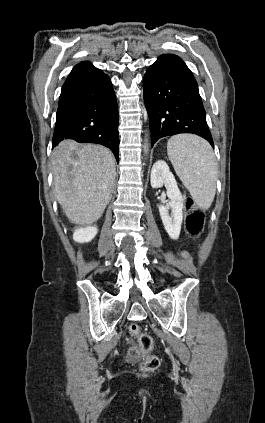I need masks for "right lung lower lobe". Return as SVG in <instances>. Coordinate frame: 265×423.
<instances>
[{
    "instance_id": "1",
    "label": "right lung lower lobe",
    "mask_w": 265,
    "mask_h": 423,
    "mask_svg": "<svg viewBox=\"0 0 265 423\" xmlns=\"http://www.w3.org/2000/svg\"><path fill=\"white\" fill-rule=\"evenodd\" d=\"M72 139L108 147L118 162V108L112 83L91 63L77 64L59 98L52 147Z\"/></svg>"
}]
</instances>
